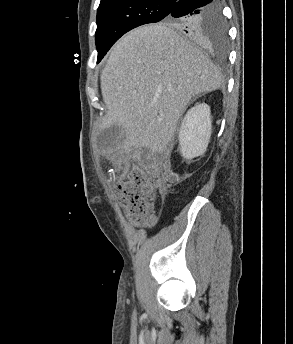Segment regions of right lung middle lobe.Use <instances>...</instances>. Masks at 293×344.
Returning a JSON list of instances; mask_svg holds the SVG:
<instances>
[{
	"label": "right lung middle lobe",
	"mask_w": 293,
	"mask_h": 344,
	"mask_svg": "<svg viewBox=\"0 0 293 344\" xmlns=\"http://www.w3.org/2000/svg\"><path fill=\"white\" fill-rule=\"evenodd\" d=\"M174 2L168 0H106L100 2L97 11L95 41L99 63L111 46L126 32L147 23L163 20L183 30L185 23L196 21L204 31L198 41L202 44L224 50L227 47V29L219 3L209 13L189 18L169 16Z\"/></svg>",
	"instance_id": "right-lung-middle-lobe-1"
}]
</instances>
